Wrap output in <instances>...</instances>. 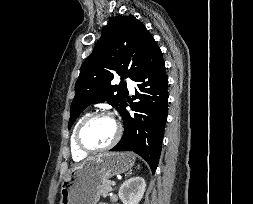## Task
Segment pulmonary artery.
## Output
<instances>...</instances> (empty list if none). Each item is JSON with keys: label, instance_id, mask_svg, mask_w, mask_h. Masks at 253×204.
<instances>
[{"label": "pulmonary artery", "instance_id": "pulmonary-artery-1", "mask_svg": "<svg viewBox=\"0 0 253 204\" xmlns=\"http://www.w3.org/2000/svg\"><path fill=\"white\" fill-rule=\"evenodd\" d=\"M126 83L128 85V88H129V91L130 93H133L134 92V85H133V82L130 80V79H126Z\"/></svg>", "mask_w": 253, "mask_h": 204}]
</instances>
